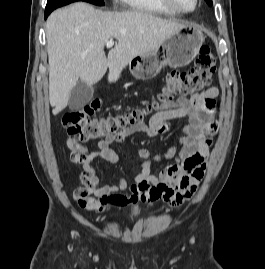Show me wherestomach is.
<instances>
[{
    "instance_id": "stomach-1",
    "label": "stomach",
    "mask_w": 265,
    "mask_h": 269,
    "mask_svg": "<svg viewBox=\"0 0 265 269\" xmlns=\"http://www.w3.org/2000/svg\"><path fill=\"white\" fill-rule=\"evenodd\" d=\"M205 36L192 25H186L169 35L156 49L132 59L128 65L131 74L141 80L156 77L165 65L179 68L188 65L198 54Z\"/></svg>"
}]
</instances>
